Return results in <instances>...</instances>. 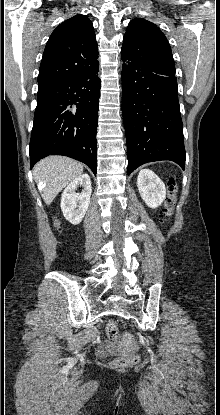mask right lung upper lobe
<instances>
[{
  "label": "right lung upper lobe",
  "instance_id": "right-lung-upper-lobe-1",
  "mask_svg": "<svg viewBox=\"0 0 220 415\" xmlns=\"http://www.w3.org/2000/svg\"><path fill=\"white\" fill-rule=\"evenodd\" d=\"M93 24L86 15H75L52 32L43 53L38 87H49L98 67Z\"/></svg>",
  "mask_w": 220,
  "mask_h": 415
}]
</instances>
